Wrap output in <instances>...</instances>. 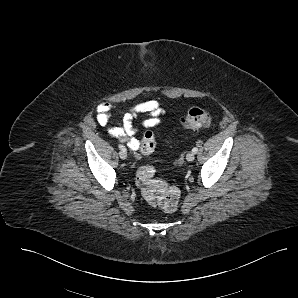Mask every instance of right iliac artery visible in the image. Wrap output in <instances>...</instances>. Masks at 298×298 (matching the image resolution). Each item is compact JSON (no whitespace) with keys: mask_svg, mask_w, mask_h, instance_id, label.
Wrapping results in <instances>:
<instances>
[{"mask_svg":"<svg viewBox=\"0 0 298 298\" xmlns=\"http://www.w3.org/2000/svg\"><path fill=\"white\" fill-rule=\"evenodd\" d=\"M119 149H120V150H123V151H126V148H125V146H123V145H119Z\"/></svg>","mask_w":298,"mask_h":298,"instance_id":"1","label":"right iliac artery"}]
</instances>
